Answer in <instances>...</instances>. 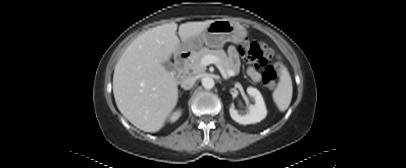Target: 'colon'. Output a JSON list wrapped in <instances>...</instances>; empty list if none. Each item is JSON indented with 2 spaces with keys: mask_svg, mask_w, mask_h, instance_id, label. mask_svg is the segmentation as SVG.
Instances as JSON below:
<instances>
[{
  "mask_svg": "<svg viewBox=\"0 0 406 168\" xmlns=\"http://www.w3.org/2000/svg\"><path fill=\"white\" fill-rule=\"evenodd\" d=\"M242 58L263 69L262 80L266 87L273 89L276 86L279 66L272 62V53L262 42L244 39L240 46Z\"/></svg>",
  "mask_w": 406,
  "mask_h": 168,
  "instance_id": "5ec220e1",
  "label": "colon"
}]
</instances>
